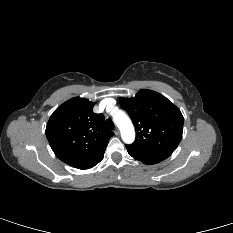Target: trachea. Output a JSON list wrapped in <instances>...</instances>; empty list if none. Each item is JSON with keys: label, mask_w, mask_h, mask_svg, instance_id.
<instances>
[{"label": "trachea", "mask_w": 233, "mask_h": 233, "mask_svg": "<svg viewBox=\"0 0 233 233\" xmlns=\"http://www.w3.org/2000/svg\"><path fill=\"white\" fill-rule=\"evenodd\" d=\"M108 129L113 130L114 129V123L111 119H107L105 122Z\"/></svg>", "instance_id": "obj_1"}]
</instances>
